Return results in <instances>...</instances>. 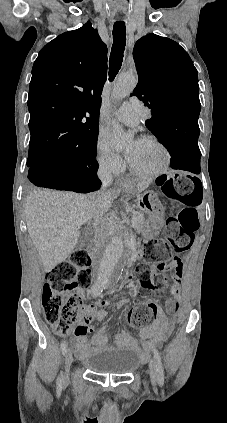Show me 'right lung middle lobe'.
<instances>
[{
	"label": "right lung middle lobe",
	"mask_w": 227,
	"mask_h": 423,
	"mask_svg": "<svg viewBox=\"0 0 227 423\" xmlns=\"http://www.w3.org/2000/svg\"><path fill=\"white\" fill-rule=\"evenodd\" d=\"M98 132L93 133L82 141L72 146L50 150L42 153L29 154L27 160V166L31 167L38 163H41L45 158L50 156H57L65 159H83V158H95L96 147H97Z\"/></svg>",
	"instance_id": "dd1d6c3e"
}]
</instances>
